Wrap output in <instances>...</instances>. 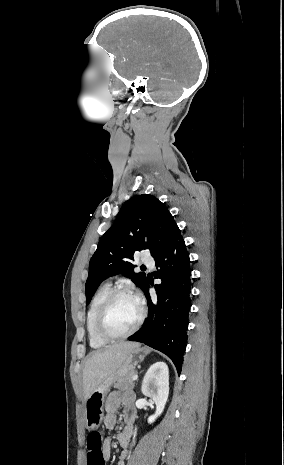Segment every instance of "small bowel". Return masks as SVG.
I'll list each match as a JSON object with an SVG mask.
<instances>
[{
    "mask_svg": "<svg viewBox=\"0 0 284 465\" xmlns=\"http://www.w3.org/2000/svg\"><path fill=\"white\" fill-rule=\"evenodd\" d=\"M134 400L133 393H120L119 391H112L105 402L106 415L104 417V424L107 428L112 429L118 419L119 411L122 412L125 426L122 431L117 435L118 443L121 446L119 454V465H124V462L129 456L131 449L135 445L133 438V422L136 417L134 409L131 407V403ZM111 439L107 437L103 443L102 451L105 459H109L111 456Z\"/></svg>",
    "mask_w": 284,
    "mask_h": 465,
    "instance_id": "c3829d8e",
    "label": "small bowel"
}]
</instances>
